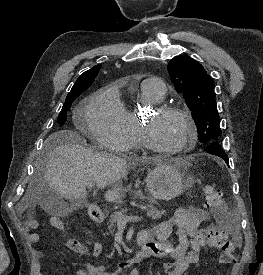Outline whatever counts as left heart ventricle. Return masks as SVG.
Returning a JSON list of instances; mask_svg holds the SVG:
<instances>
[{"instance_id":"obj_1","label":"left heart ventricle","mask_w":263,"mask_h":275,"mask_svg":"<svg viewBox=\"0 0 263 275\" xmlns=\"http://www.w3.org/2000/svg\"><path fill=\"white\" fill-rule=\"evenodd\" d=\"M145 122L153 142L164 149L179 147L188 135V125L178 115L150 113Z\"/></svg>"}]
</instances>
